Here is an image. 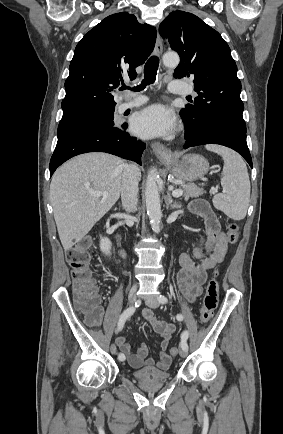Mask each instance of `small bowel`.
Segmentation results:
<instances>
[{
    "label": "small bowel",
    "mask_w": 283,
    "mask_h": 434,
    "mask_svg": "<svg viewBox=\"0 0 283 434\" xmlns=\"http://www.w3.org/2000/svg\"><path fill=\"white\" fill-rule=\"evenodd\" d=\"M189 209L193 214L203 219L205 231L200 242L193 249L192 255L188 253L180 254L178 260L180 270L176 275V281L183 297L189 302H194L203 292V285L208 278L209 271L224 261L228 251V241L217 216L207 201L196 199L191 202ZM142 316L161 337L158 361L155 362L153 358L147 357L148 347L144 343L139 345L136 352L132 351L131 345L124 337H118L116 345L121 350V353L128 358V362L133 368H139L143 365H156L160 370H167L172 362L170 354L167 353V348L175 331V326L157 319L151 309H145Z\"/></svg>",
    "instance_id": "c3829d8e"
}]
</instances>
